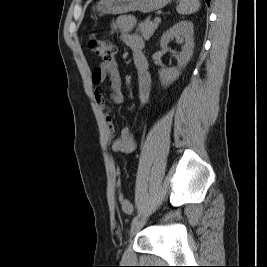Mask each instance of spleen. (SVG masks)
<instances>
[{
  "label": "spleen",
  "mask_w": 267,
  "mask_h": 267,
  "mask_svg": "<svg viewBox=\"0 0 267 267\" xmlns=\"http://www.w3.org/2000/svg\"><path fill=\"white\" fill-rule=\"evenodd\" d=\"M200 8L199 0H180L176 10L179 14H192Z\"/></svg>",
  "instance_id": "1"
}]
</instances>
